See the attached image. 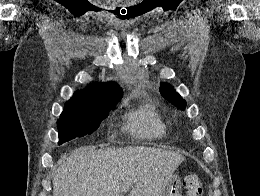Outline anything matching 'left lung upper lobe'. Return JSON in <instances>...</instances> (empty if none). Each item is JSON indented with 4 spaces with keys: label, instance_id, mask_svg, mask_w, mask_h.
<instances>
[{
    "label": "left lung upper lobe",
    "instance_id": "left-lung-upper-lobe-1",
    "mask_svg": "<svg viewBox=\"0 0 260 196\" xmlns=\"http://www.w3.org/2000/svg\"><path fill=\"white\" fill-rule=\"evenodd\" d=\"M160 92L162 96L167 99L171 104L175 105L176 107L180 109H185L186 107V102L184 99L181 98V96L176 93L173 88L166 83H161L160 86Z\"/></svg>",
    "mask_w": 260,
    "mask_h": 196
}]
</instances>
